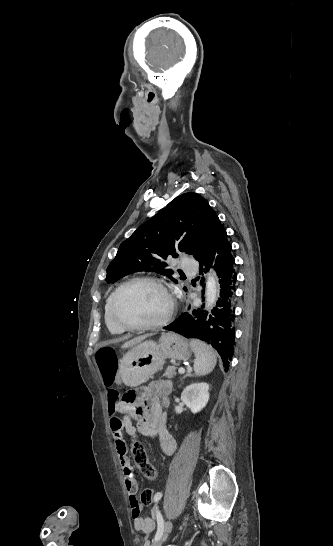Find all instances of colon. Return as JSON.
<instances>
[{"label":"colon","instance_id":"obj_1","mask_svg":"<svg viewBox=\"0 0 333 546\" xmlns=\"http://www.w3.org/2000/svg\"><path fill=\"white\" fill-rule=\"evenodd\" d=\"M96 364L100 370V373L107 384H111L114 381L116 375L117 361L115 352L112 348H101L95 355ZM118 394L115 391L109 392V401L111 403L116 402ZM137 394L134 391H130L123 396V403L127 406H133L136 404ZM131 452L133 459L139 471L147 478H151L156 475V469L149 460L147 451L144 445L137 440H133L131 443ZM154 491L152 489H145L140 494L139 503L144 506L153 504Z\"/></svg>","mask_w":333,"mask_h":546}]
</instances>
